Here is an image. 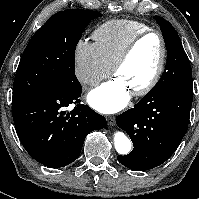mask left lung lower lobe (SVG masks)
Listing matches in <instances>:
<instances>
[{"label":"left lung lower lobe","mask_w":199,"mask_h":199,"mask_svg":"<svg viewBox=\"0 0 199 199\" xmlns=\"http://www.w3.org/2000/svg\"><path fill=\"white\" fill-rule=\"evenodd\" d=\"M193 87H177L161 94H147L119 115L118 127L130 136L134 149L117 157L125 167L144 171L164 163L178 148L190 118Z\"/></svg>","instance_id":"obj_1"}]
</instances>
